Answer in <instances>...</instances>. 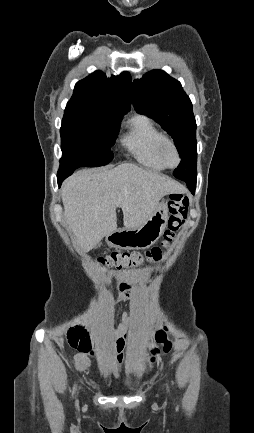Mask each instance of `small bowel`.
<instances>
[{
	"mask_svg": "<svg viewBox=\"0 0 254 433\" xmlns=\"http://www.w3.org/2000/svg\"><path fill=\"white\" fill-rule=\"evenodd\" d=\"M130 280H118L117 286L124 296H130ZM140 327V322L134 315L123 313L121 322L115 327L116 340L114 350L116 352V360L119 365L124 362V350L127 345V334L130 329L136 330ZM76 368L80 371H85L90 366V359L86 354L78 353L74 357Z\"/></svg>",
	"mask_w": 254,
	"mask_h": 433,
	"instance_id": "small-bowel-1",
	"label": "small bowel"
}]
</instances>
